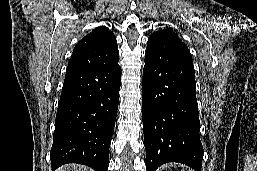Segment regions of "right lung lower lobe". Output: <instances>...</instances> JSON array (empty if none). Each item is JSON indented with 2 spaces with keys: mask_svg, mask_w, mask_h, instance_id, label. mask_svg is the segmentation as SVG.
<instances>
[{
  "mask_svg": "<svg viewBox=\"0 0 257 171\" xmlns=\"http://www.w3.org/2000/svg\"><path fill=\"white\" fill-rule=\"evenodd\" d=\"M121 68L67 72L50 151L52 169L66 163L107 171L109 146L119 102Z\"/></svg>",
  "mask_w": 257,
  "mask_h": 171,
  "instance_id": "98d812e1",
  "label": "right lung lower lobe"
}]
</instances>
